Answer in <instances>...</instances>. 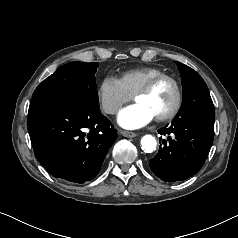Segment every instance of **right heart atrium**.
<instances>
[{"mask_svg":"<svg viewBox=\"0 0 238 238\" xmlns=\"http://www.w3.org/2000/svg\"><path fill=\"white\" fill-rule=\"evenodd\" d=\"M97 95L102 110L109 115L116 114L125 103L131 100V95L113 76H107L100 82Z\"/></svg>","mask_w":238,"mask_h":238,"instance_id":"1","label":"right heart atrium"}]
</instances>
